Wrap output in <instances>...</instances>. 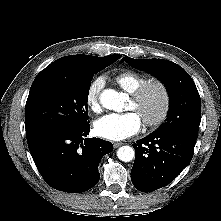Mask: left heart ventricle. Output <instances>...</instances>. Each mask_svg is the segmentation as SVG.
<instances>
[{"mask_svg":"<svg viewBox=\"0 0 221 221\" xmlns=\"http://www.w3.org/2000/svg\"><path fill=\"white\" fill-rule=\"evenodd\" d=\"M162 106V96L158 89H150L139 104L129 103V109L134 110L140 118L151 119L154 118L160 111Z\"/></svg>","mask_w":221,"mask_h":221,"instance_id":"1","label":"left heart ventricle"}]
</instances>
